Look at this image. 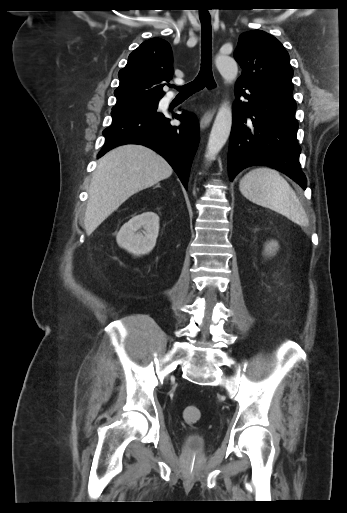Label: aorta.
<instances>
[{
	"label": "aorta",
	"instance_id": "obj_1",
	"mask_svg": "<svg viewBox=\"0 0 347 513\" xmlns=\"http://www.w3.org/2000/svg\"><path fill=\"white\" fill-rule=\"evenodd\" d=\"M216 67L226 84L233 83L238 74L237 62L227 55L220 54L215 60ZM232 128V108L228 101H224L216 115L212 130L209 136L206 159L208 162L214 160L227 142Z\"/></svg>",
	"mask_w": 347,
	"mask_h": 513
}]
</instances>
